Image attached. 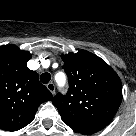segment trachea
<instances>
[{
    "label": "trachea",
    "instance_id": "1",
    "mask_svg": "<svg viewBox=\"0 0 136 136\" xmlns=\"http://www.w3.org/2000/svg\"><path fill=\"white\" fill-rule=\"evenodd\" d=\"M51 79V75L49 73H43L41 76H40V81L43 83V84H47Z\"/></svg>",
    "mask_w": 136,
    "mask_h": 136
}]
</instances>
